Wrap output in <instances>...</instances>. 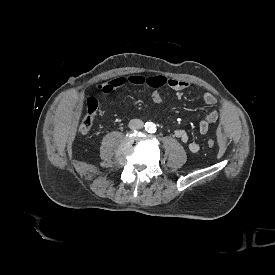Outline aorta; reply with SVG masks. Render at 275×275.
<instances>
[{"mask_svg":"<svg viewBox=\"0 0 275 275\" xmlns=\"http://www.w3.org/2000/svg\"><path fill=\"white\" fill-rule=\"evenodd\" d=\"M148 132L153 133L156 131V125L152 122H150L147 126Z\"/></svg>","mask_w":275,"mask_h":275,"instance_id":"aorta-1","label":"aorta"}]
</instances>
